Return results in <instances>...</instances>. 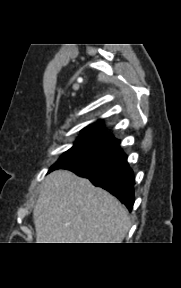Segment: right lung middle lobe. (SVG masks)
<instances>
[{
	"label": "right lung middle lobe",
	"mask_w": 181,
	"mask_h": 288,
	"mask_svg": "<svg viewBox=\"0 0 181 288\" xmlns=\"http://www.w3.org/2000/svg\"><path fill=\"white\" fill-rule=\"evenodd\" d=\"M111 158H115V156L110 151L76 141L73 147L65 152L51 167L50 171L79 162H96Z\"/></svg>",
	"instance_id": "obj_1"
}]
</instances>
